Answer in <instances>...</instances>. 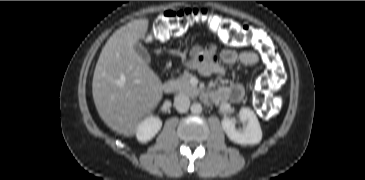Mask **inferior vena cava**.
<instances>
[{
  "instance_id": "602c4592",
  "label": "inferior vena cava",
  "mask_w": 365,
  "mask_h": 180,
  "mask_svg": "<svg viewBox=\"0 0 365 180\" xmlns=\"http://www.w3.org/2000/svg\"><path fill=\"white\" fill-rule=\"evenodd\" d=\"M174 105L179 112H186L190 106L189 97L185 94L176 95L174 98Z\"/></svg>"
}]
</instances>
